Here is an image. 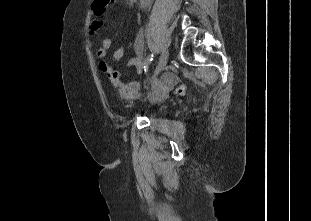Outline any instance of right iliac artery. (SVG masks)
Returning <instances> with one entry per match:
<instances>
[{
    "label": "right iliac artery",
    "instance_id": "1",
    "mask_svg": "<svg viewBox=\"0 0 311 221\" xmlns=\"http://www.w3.org/2000/svg\"><path fill=\"white\" fill-rule=\"evenodd\" d=\"M152 60H153V54L149 55V56L145 59L144 66H143V71H144V72H147V71H148L149 65H150V63L152 62Z\"/></svg>",
    "mask_w": 311,
    "mask_h": 221
}]
</instances>
